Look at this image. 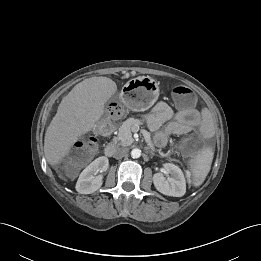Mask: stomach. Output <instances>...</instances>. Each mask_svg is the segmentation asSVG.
<instances>
[{"mask_svg":"<svg viewBox=\"0 0 261 261\" xmlns=\"http://www.w3.org/2000/svg\"><path fill=\"white\" fill-rule=\"evenodd\" d=\"M159 87L149 77H138L129 80L122 88L121 102L124 107L142 112L149 109L157 100Z\"/></svg>","mask_w":261,"mask_h":261,"instance_id":"0dacf381","label":"stomach"}]
</instances>
